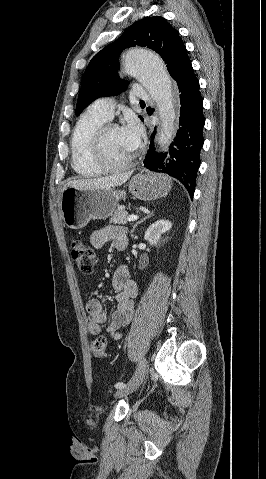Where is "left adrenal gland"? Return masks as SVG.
Listing matches in <instances>:
<instances>
[{
  "instance_id": "1",
  "label": "left adrenal gland",
  "mask_w": 266,
  "mask_h": 479,
  "mask_svg": "<svg viewBox=\"0 0 266 479\" xmlns=\"http://www.w3.org/2000/svg\"><path fill=\"white\" fill-rule=\"evenodd\" d=\"M153 212H154V210H153L151 213L147 214V216H145L144 218H142L141 220H139L138 222H136V224H134V226H133V228H132V230H131V236H133V232L135 231V228H136L139 224H141L142 222H144V221H146L148 218H150L151 215L153 214Z\"/></svg>"
}]
</instances>
